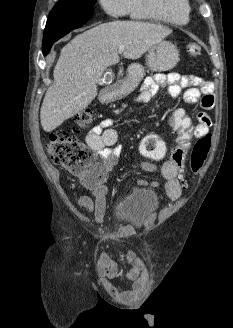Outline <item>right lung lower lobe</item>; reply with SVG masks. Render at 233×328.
<instances>
[{"instance_id":"1","label":"right lung lower lobe","mask_w":233,"mask_h":328,"mask_svg":"<svg viewBox=\"0 0 233 328\" xmlns=\"http://www.w3.org/2000/svg\"><path fill=\"white\" fill-rule=\"evenodd\" d=\"M91 16H54L49 17L45 27L42 50L46 56L52 44L73 29L81 27Z\"/></svg>"}]
</instances>
